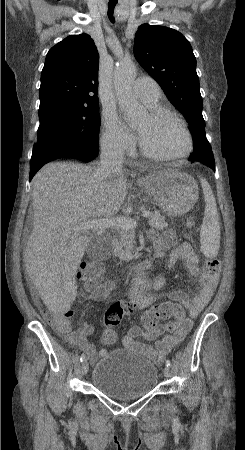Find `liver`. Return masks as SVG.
Wrapping results in <instances>:
<instances>
[{
    "mask_svg": "<svg viewBox=\"0 0 245 450\" xmlns=\"http://www.w3.org/2000/svg\"><path fill=\"white\" fill-rule=\"evenodd\" d=\"M93 167L48 163L33 178L34 226L24 253L26 271L54 314L68 311L76 297L75 275L90 243L72 227L113 217L128 192L123 171L102 179Z\"/></svg>",
    "mask_w": 245,
    "mask_h": 450,
    "instance_id": "obj_1",
    "label": "liver"
}]
</instances>
